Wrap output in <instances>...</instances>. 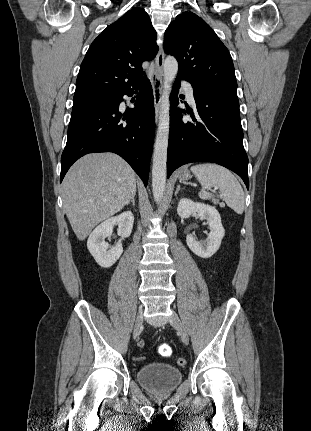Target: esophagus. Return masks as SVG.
<instances>
[{
  "label": "esophagus",
  "instance_id": "obj_1",
  "mask_svg": "<svg viewBox=\"0 0 311 431\" xmlns=\"http://www.w3.org/2000/svg\"><path fill=\"white\" fill-rule=\"evenodd\" d=\"M163 62H164V50L161 47L155 63V70L151 73L150 79L152 82L153 95H154V108H155V120L158 123V116L160 113V104L162 100V89H163Z\"/></svg>",
  "mask_w": 311,
  "mask_h": 431
}]
</instances>
